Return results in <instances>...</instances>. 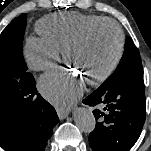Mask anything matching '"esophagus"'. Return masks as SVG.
Segmentation results:
<instances>
[{
    "label": "esophagus",
    "instance_id": "obj_1",
    "mask_svg": "<svg viewBox=\"0 0 151 151\" xmlns=\"http://www.w3.org/2000/svg\"><path fill=\"white\" fill-rule=\"evenodd\" d=\"M57 114L60 119H65L69 115L68 110L57 109Z\"/></svg>",
    "mask_w": 151,
    "mask_h": 151
}]
</instances>
